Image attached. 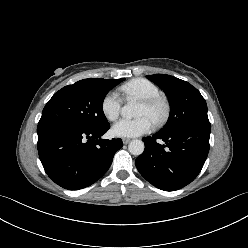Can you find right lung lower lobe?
<instances>
[{
  "instance_id": "right-lung-lower-lobe-1",
  "label": "right lung lower lobe",
  "mask_w": 248,
  "mask_h": 248,
  "mask_svg": "<svg viewBox=\"0 0 248 248\" xmlns=\"http://www.w3.org/2000/svg\"><path fill=\"white\" fill-rule=\"evenodd\" d=\"M109 128L87 129L65 121L39 123L37 148L47 175L68 190L85 188L100 179L123 146L121 139L100 138Z\"/></svg>"
}]
</instances>
